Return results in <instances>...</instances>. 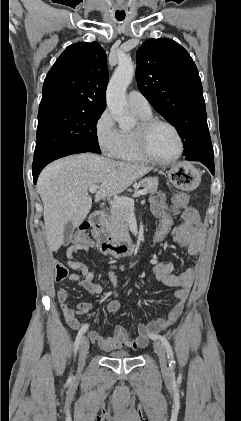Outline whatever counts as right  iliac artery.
I'll return each mask as SVG.
<instances>
[{
  "label": "right iliac artery",
  "mask_w": 241,
  "mask_h": 421,
  "mask_svg": "<svg viewBox=\"0 0 241 421\" xmlns=\"http://www.w3.org/2000/svg\"><path fill=\"white\" fill-rule=\"evenodd\" d=\"M88 324H85L80 330H79V332H78V334H77V336H76V340H75V343H74V352H75V354H76V352H77V350H78V347H79V345H80V343H81V340H82V337H83V335H84V333L87 331V329H88Z\"/></svg>",
  "instance_id": "right-iliac-artery-1"
}]
</instances>
